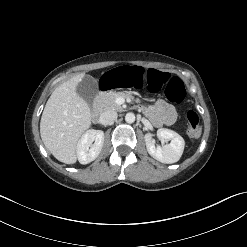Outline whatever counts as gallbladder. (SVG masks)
Here are the masks:
<instances>
[{"mask_svg": "<svg viewBox=\"0 0 247 247\" xmlns=\"http://www.w3.org/2000/svg\"><path fill=\"white\" fill-rule=\"evenodd\" d=\"M76 92L88 105H92L99 92L96 80L89 75H85L82 81L77 85Z\"/></svg>", "mask_w": 247, "mask_h": 247, "instance_id": "gallbladder-1", "label": "gallbladder"}]
</instances>
